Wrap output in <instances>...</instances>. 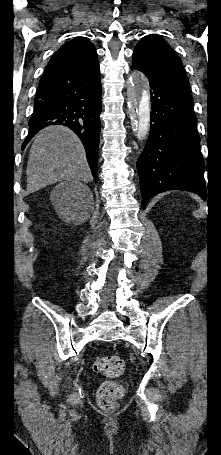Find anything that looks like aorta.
<instances>
[{"label": "aorta", "instance_id": "obj_1", "mask_svg": "<svg viewBox=\"0 0 221 455\" xmlns=\"http://www.w3.org/2000/svg\"><path fill=\"white\" fill-rule=\"evenodd\" d=\"M127 101L133 133L142 141L149 133L151 110L145 78L140 71H133L127 81Z\"/></svg>", "mask_w": 221, "mask_h": 455}]
</instances>
